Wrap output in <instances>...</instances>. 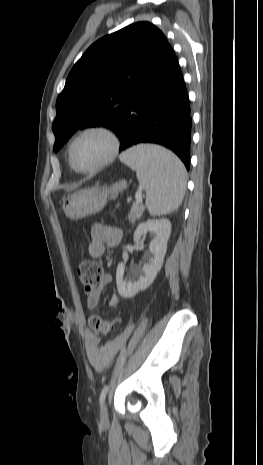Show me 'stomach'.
Listing matches in <instances>:
<instances>
[{
	"label": "stomach",
	"instance_id": "stomach-1",
	"mask_svg": "<svg viewBox=\"0 0 263 465\" xmlns=\"http://www.w3.org/2000/svg\"><path fill=\"white\" fill-rule=\"evenodd\" d=\"M127 182L121 180L110 188H86L68 196L62 204L65 215L71 220H78L101 211L107 204L109 195L123 191Z\"/></svg>",
	"mask_w": 263,
	"mask_h": 465
}]
</instances>
